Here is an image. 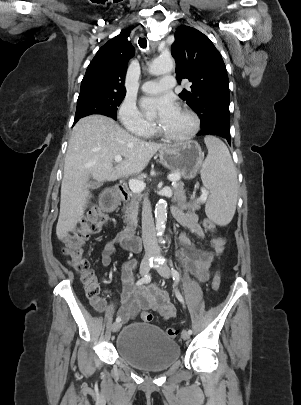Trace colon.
<instances>
[{"mask_svg": "<svg viewBox=\"0 0 301 405\" xmlns=\"http://www.w3.org/2000/svg\"><path fill=\"white\" fill-rule=\"evenodd\" d=\"M108 222V213H101L100 209L93 207L83 216L80 225L64 236L63 252L68 257L70 265L81 275L87 296L97 309H102L104 305L96 276L90 269V262L85 255V245L91 238L100 235ZM202 225L207 231L216 229V225L208 219H205ZM220 284V273L217 272L211 282L212 289L217 291ZM141 317L147 322L154 319L149 312H142ZM167 334L172 339L179 337L177 329H167Z\"/></svg>", "mask_w": 301, "mask_h": 405, "instance_id": "obj_1", "label": "colon"}]
</instances>
